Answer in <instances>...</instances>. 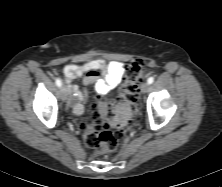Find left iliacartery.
Listing matches in <instances>:
<instances>
[{"mask_svg": "<svg viewBox=\"0 0 222 187\" xmlns=\"http://www.w3.org/2000/svg\"><path fill=\"white\" fill-rule=\"evenodd\" d=\"M147 81H148L149 84H152V83L154 82V77H150V78H148Z\"/></svg>", "mask_w": 222, "mask_h": 187, "instance_id": "left-iliac-artery-1", "label": "left iliac artery"}]
</instances>
